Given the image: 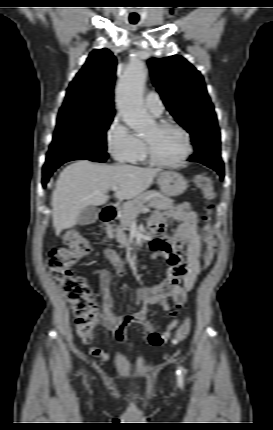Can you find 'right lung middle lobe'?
Segmentation results:
<instances>
[{"instance_id": "dd1d6c3e", "label": "right lung middle lobe", "mask_w": 273, "mask_h": 430, "mask_svg": "<svg viewBox=\"0 0 273 430\" xmlns=\"http://www.w3.org/2000/svg\"><path fill=\"white\" fill-rule=\"evenodd\" d=\"M113 116L114 112L90 113L73 108L60 109L43 169L105 153L106 131Z\"/></svg>"}]
</instances>
